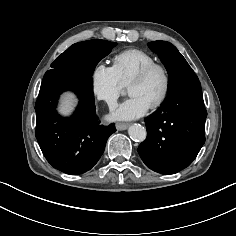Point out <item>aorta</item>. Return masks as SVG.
I'll return each mask as SVG.
<instances>
[{
	"mask_svg": "<svg viewBox=\"0 0 236 236\" xmlns=\"http://www.w3.org/2000/svg\"><path fill=\"white\" fill-rule=\"evenodd\" d=\"M128 134L131 139L142 142L146 139V129L140 124H133L128 129Z\"/></svg>",
	"mask_w": 236,
	"mask_h": 236,
	"instance_id": "obj_1",
	"label": "aorta"
}]
</instances>
